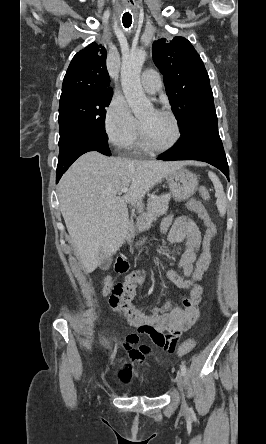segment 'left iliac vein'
Listing matches in <instances>:
<instances>
[{
    "instance_id": "4c4485c4",
    "label": "left iliac vein",
    "mask_w": 266,
    "mask_h": 444,
    "mask_svg": "<svg viewBox=\"0 0 266 444\" xmlns=\"http://www.w3.org/2000/svg\"><path fill=\"white\" fill-rule=\"evenodd\" d=\"M176 383H177V387H178V390L180 393L182 407L185 408L186 401H185V397H184V377H183L182 372H179L177 374Z\"/></svg>"
}]
</instances>
